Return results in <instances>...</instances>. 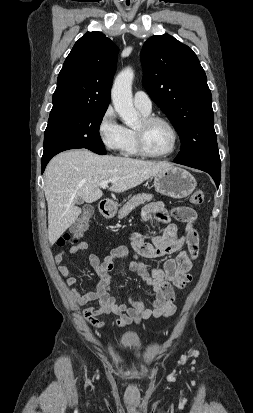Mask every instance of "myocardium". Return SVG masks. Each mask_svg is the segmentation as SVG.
<instances>
[{"label":"myocardium","instance_id":"f54148a6","mask_svg":"<svg viewBox=\"0 0 253 413\" xmlns=\"http://www.w3.org/2000/svg\"><path fill=\"white\" fill-rule=\"evenodd\" d=\"M141 121L142 127L134 128L136 147L139 154L149 158H164L172 155L176 151L180 139L179 133L175 125L168 118L159 115H146L141 119ZM156 122H161L167 125L173 135L172 146L167 152L164 153H153L146 146L144 130L147 126Z\"/></svg>","mask_w":253,"mask_h":413}]
</instances>
